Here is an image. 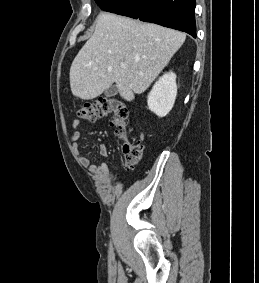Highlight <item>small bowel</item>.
<instances>
[{"mask_svg":"<svg viewBox=\"0 0 259 283\" xmlns=\"http://www.w3.org/2000/svg\"><path fill=\"white\" fill-rule=\"evenodd\" d=\"M80 126V120L74 119L72 122V127L74 128L72 139L74 141V148L76 151H79V140L81 138V132L79 131ZM99 153L101 157H107V147L104 145L100 146ZM78 161L82 166L86 167L92 174L97 177L100 184H108L118 181V178L112 174L111 167L108 163L101 162L99 164H93L87 157L82 155L78 156Z\"/></svg>","mask_w":259,"mask_h":283,"instance_id":"small-bowel-1","label":"small bowel"}]
</instances>
